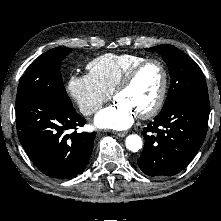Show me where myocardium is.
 I'll return each instance as SVG.
<instances>
[{"label": "myocardium", "mask_w": 221, "mask_h": 221, "mask_svg": "<svg viewBox=\"0 0 221 221\" xmlns=\"http://www.w3.org/2000/svg\"><path fill=\"white\" fill-rule=\"evenodd\" d=\"M149 64H156L160 67L162 71V84L155 103L148 110L137 114L141 119H149L155 116L161 110L165 102L169 85V73L166 65L159 59H146L130 69L113 91V97L116 98L120 92L127 89L134 82L141 70Z\"/></svg>", "instance_id": "obj_1"}]
</instances>
